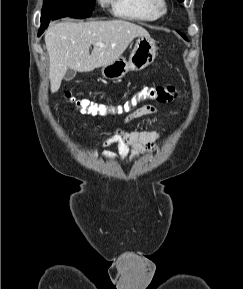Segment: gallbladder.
<instances>
[{
  "label": "gallbladder",
  "mask_w": 243,
  "mask_h": 289,
  "mask_svg": "<svg viewBox=\"0 0 243 289\" xmlns=\"http://www.w3.org/2000/svg\"><path fill=\"white\" fill-rule=\"evenodd\" d=\"M76 75V72L75 70L73 69H67L66 73H65V76H64V79L66 81H71Z\"/></svg>",
  "instance_id": "gallbladder-1"
}]
</instances>
